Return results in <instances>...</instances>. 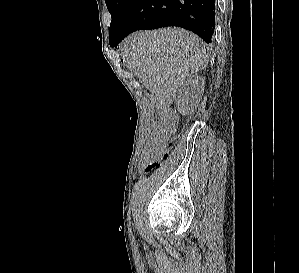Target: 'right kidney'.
Segmentation results:
<instances>
[{
	"instance_id": "right-kidney-1",
	"label": "right kidney",
	"mask_w": 299,
	"mask_h": 273,
	"mask_svg": "<svg viewBox=\"0 0 299 273\" xmlns=\"http://www.w3.org/2000/svg\"><path fill=\"white\" fill-rule=\"evenodd\" d=\"M204 83V79L196 75H191L182 83L177 97V107L181 113L189 114L196 108L204 90Z\"/></svg>"
}]
</instances>
